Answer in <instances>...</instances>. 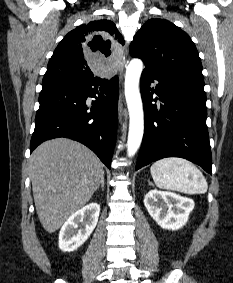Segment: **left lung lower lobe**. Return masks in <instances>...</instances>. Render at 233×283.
<instances>
[{"instance_id": "left-lung-lower-lobe-1", "label": "left lung lower lobe", "mask_w": 233, "mask_h": 283, "mask_svg": "<svg viewBox=\"0 0 233 283\" xmlns=\"http://www.w3.org/2000/svg\"><path fill=\"white\" fill-rule=\"evenodd\" d=\"M157 81L155 88L151 84ZM204 79L144 69L140 81L145 131L135 170L165 157H181L211 174ZM160 106L152 104L153 94ZM157 101V98L154 99Z\"/></svg>"}]
</instances>
